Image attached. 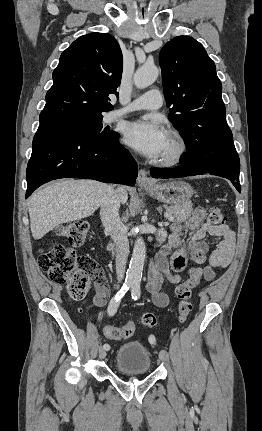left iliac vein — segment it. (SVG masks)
<instances>
[{
  "label": "left iliac vein",
  "mask_w": 262,
  "mask_h": 431,
  "mask_svg": "<svg viewBox=\"0 0 262 431\" xmlns=\"http://www.w3.org/2000/svg\"><path fill=\"white\" fill-rule=\"evenodd\" d=\"M159 359H160V361H162V362H168V361H169V355H168V352H167L166 350L162 349V350L159 352Z\"/></svg>",
  "instance_id": "left-iliac-vein-1"
}]
</instances>
